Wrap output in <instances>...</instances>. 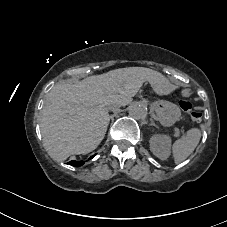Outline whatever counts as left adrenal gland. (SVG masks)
Segmentation results:
<instances>
[{
    "label": "left adrenal gland",
    "instance_id": "1",
    "mask_svg": "<svg viewBox=\"0 0 227 227\" xmlns=\"http://www.w3.org/2000/svg\"><path fill=\"white\" fill-rule=\"evenodd\" d=\"M150 121H151L150 125L157 127L152 118L150 119Z\"/></svg>",
    "mask_w": 227,
    "mask_h": 227
}]
</instances>
